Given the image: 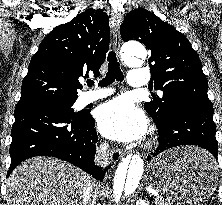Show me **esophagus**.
Here are the masks:
<instances>
[{"label": "esophagus", "instance_id": "1", "mask_svg": "<svg viewBox=\"0 0 222 205\" xmlns=\"http://www.w3.org/2000/svg\"><path fill=\"white\" fill-rule=\"evenodd\" d=\"M111 23L113 32V47L116 53L118 54L121 45L120 26L122 23V14L118 12L112 13ZM123 154L124 153L120 149H114L112 151V160L114 162H117L123 156Z\"/></svg>", "mask_w": 222, "mask_h": 205}]
</instances>
